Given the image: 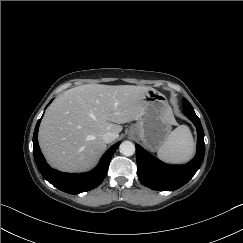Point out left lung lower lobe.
Returning <instances> with one entry per match:
<instances>
[{"mask_svg":"<svg viewBox=\"0 0 243 243\" xmlns=\"http://www.w3.org/2000/svg\"><path fill=\"white\" fill-rule=\"evenodd\" d=\"M184 114L197 128V151L195 157L184 165H168L152 157L138 144L136 146V161L138 177L145 186L159 191H173L185 185L200 168L204 154V131L193 109L183 108Z\"/></svg>","mask_w":243,"mask_h":243,"instance_id":"left-lung-lower-lobe-1","label":"left lung lower lobe"}]
</instances>
